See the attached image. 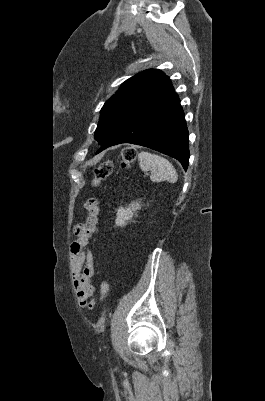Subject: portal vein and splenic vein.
Wrapping results in <instances>:
<instances>
[{
    "instance_id": "obj_1",
    "label": "portal vein and splenic vein",
    "mask_w": 265,
    "mask_h": 401,
    "mask_svg": "<svg viewBox=\"0 0 265 401\" xmlns=\"http://www.w3.org/2000/svg\"><path fill=\"white\" fill-rule=\"evenodd\" d=\"M146 175H147V176H150V175H151V172H150V171H147V172H146Z\"/></svg>"
}]
</instances>
